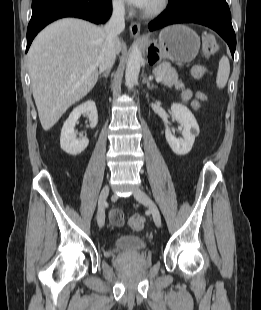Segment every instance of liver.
<instances>
[{
  "label": "liver",
  "instance_id": "liver-1",
  "mask_svg": "<svg viewBox=\"0 0 261 310\" xmlns=\"http://www.w3.org/2000/svg\"><path fill=\"white\" fill-rule=\"evenodd\" d=\"M105 30L76 18L42 30L28 51V70L42 128L51 129L66 110L85 97L98 79ZM116 53L122 50L118 39Z\"/></svg>",
  "mask_w": 261,
  "mask_h": 310
}]
</instances>
